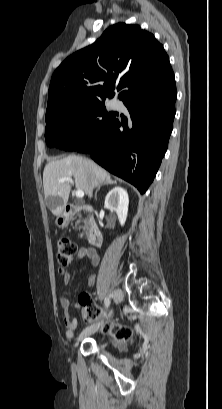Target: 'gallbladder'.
<instances>
[{"label":"gallbladder","instance_id":"bac80fb5","mask_svg":"<svg viewBox=\"0 0 222 409\" xmlns=\"http://www.w3.org/2000/svg\"><path fill=\"white\" fill-rule=\"evenodd\" d=\"M46 201H47L48 206H51V205H52V202H53V198H52V197H48Z\"/></svg>","mask_w":222,"mask_h":409}]
</instances>
